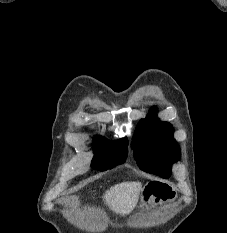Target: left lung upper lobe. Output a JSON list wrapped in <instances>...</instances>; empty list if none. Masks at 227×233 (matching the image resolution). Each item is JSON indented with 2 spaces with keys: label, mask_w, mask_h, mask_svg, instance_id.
Instances as JSON below:
<instances>
[{
  "label": "left lung upper lobe",
  "mask_w": 227,
  "mask_h": 233,
  "mask_svg": "<svg viewBox=\"0 0 227 233\" xmlns=\"http://www.w3.org/2000/svg\"><path fill=\"white\" fill-rule=\"evenodd\" d=\"M156 113L157 109L151 108L150 114L139 123L132 148L142 170L168 178L172 163L180 158V149L173 138L172 125L157 119Z\"/></svg>",
  "instance_id": "obj_1"
}]
</instances>
